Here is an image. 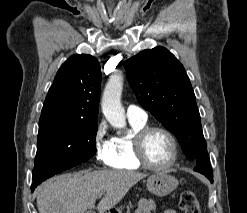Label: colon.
Returning a JSON list of instances; mask_svg holds the SVG:
<instances>
[{"mask_svg": "<svg viewBox=\"0 0 247 213\" xmlns=\"http://www.w3.org/2000/svg\"><path fill=\"white\" fill-rule=\"evenodd\" d=\"M179 207L183 213H201L197 197L191 190L182 192L179 199Z\"/></svg>", "mask_w": 247, "mask_h": 213, "instance_id": "1", "label": "colon"}]
</instances>
